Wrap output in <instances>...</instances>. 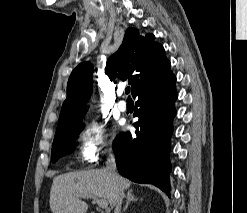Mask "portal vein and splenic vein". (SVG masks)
<instances>
[{
	"instance_id": "portal-vein-and-splenic-vein-1",
	"label": "portal vein and splenic vein",
	"mask_w": 247,
	"mask_h": 213,
	"mask_svg": "<svg viewBox=\"0 0 247 213\" xmlns=\"http://www.w3.org/2000/svg\"><path fill=\"white\" fill-rule=\"evenodd\" d=\"M85 197L93 198L97 202L98 206L102 209L108 208V202L105 199H98L95 196H91V195H85Z\"/></svg>"
}]
</instances>
